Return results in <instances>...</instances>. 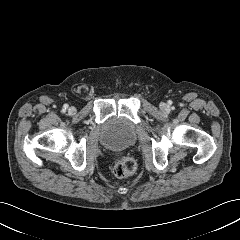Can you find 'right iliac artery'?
<instances>
[{
  "mask_svg": "<svg viewBox=\"0 0 240 240\" xmlns=\"http://www.w3.org/2000/svg\"><path fill=\"white\" fill-rule=\"evenodd\" d=\"M63 107H64L63 110H66L68 106H67V105H64Z\"/></svg>",
  "mask_w": 240,
  "mask_h": 240,
  "instance_id": "82829eb1",
  "label": "right iliac artery"
}]
</instances>
